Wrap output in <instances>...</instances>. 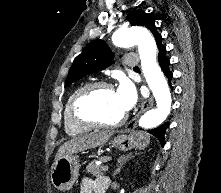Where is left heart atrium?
<instances>
[{
	"label": "left heart atrium",
	"mask_w": 221,
	"mask_h": 193,
	"mask_svg": "<svg viewBox=\"0 0 221 193\" xmlns=\"http://www.w3.org/2000/svg\"><path fill=\"white\" fill-rule=\"evenodd\" d=\"M117 101L124 112L131 110L137 102V93L134 86L127 80L120 82L115 91Z\"/></svg>",
	"instance_id": "obj_1"
}]
</instances>
